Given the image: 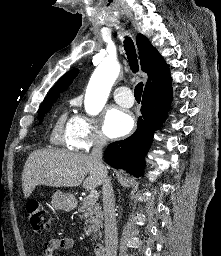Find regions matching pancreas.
Segmentation results:
<instances>
[{
  "instance_id": "cf45deb5",
  "label": "pancreas",
  "mask_w": 221,
  "mask_h": 256,
  "mask_svg": "<svg viewBox=\"0 0 221 256\" xmlns=\"http://www.w3.org/2000/svg\"><path fill=\"white\" fill-rule=\"evenodd\" d=\"M80 218L85 220L86 235L93 236L95 240L101 236L100 228L103 225V213L101 207L89 196L85 197L79 208Z\"/></svg>"
}]
</instances>
